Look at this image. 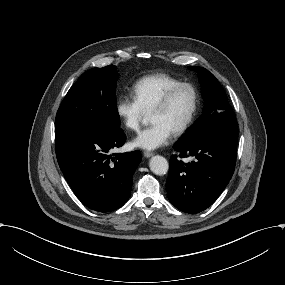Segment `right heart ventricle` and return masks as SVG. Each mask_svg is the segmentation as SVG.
Wrapping results in <instances>:
<instances>
[{
  "label": "right heart ventricle",
  "instance_id": "right-heart-ventricle-1",
  "mask_svg": "<svg viewBox=\"0 0 285 285\" xmlns=\"http://www.w3.org/2000/svg\"><path fill=\"white\" fill-rule=\"evenodd\" d=\"M178 82H180L178 78L169 74H152L136 82L134 93L143 108L151 111L162 95Z\"/></svg>",
  "mask_w": 285,
  "mask_h": 285
}]
</instances>
